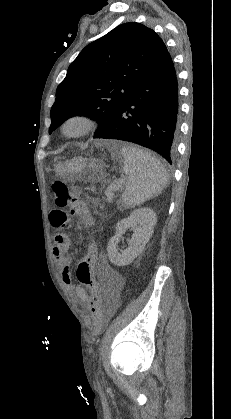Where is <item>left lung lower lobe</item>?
<instances>
[{"label":"left lung lower lobe","instance_id":"0a47b994","mask_svg":"<svg viewBox=\"0 0 231 419\" xmlns=\"http://www.w3.org/2000/svg\"><path fill=\"white\" fill-rule=\"evenodd\" d=\"M178 83L167 52L130 90L110 124L94 138L140 144L172 164L178 135Z\"/></svg>","mask_w":231,"mask_h":419}]
</instances>
